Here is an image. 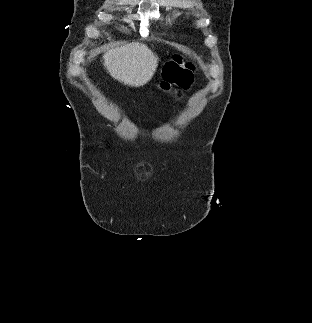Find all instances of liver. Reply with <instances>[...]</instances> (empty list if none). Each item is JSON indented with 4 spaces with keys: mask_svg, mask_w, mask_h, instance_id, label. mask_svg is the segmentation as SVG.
<instances>
[{
    "mask_svg": "<svg viewBox=\"0 0 312 323\" xmlns=\"http://www.w3.org/2000/svg\"><path fill=\"white\" fill-rule=\"evenodd\" d=\"M103 58L104 66L114 80L134 88L152 80L159 62L158 56L139 42L107 50Z\"/></svg>",
    "mask_w": 312,
    "mask_h": 323,
    "instance_id": "1",
    "label": "liver"
}]
</instances>
